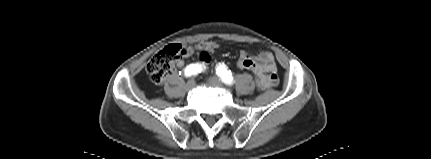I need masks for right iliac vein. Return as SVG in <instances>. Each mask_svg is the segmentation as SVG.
I'll return each instance as SVG.
<instances>
[{
    "label": "right iliac vein",
    "instance_id": "1",
    "mask_svg": "<svg viewBox=\"0 0 431 159\" xmlns=\"http://www.w3.org/2000/svg\"><path fill=\"white\" fill-rule=\"evenodd\" d=\"M195 85H196L195 80H194V79H191V80H189V81L186 83L185 88H186V90H191L192 88H194V87H195Z\"/></svg>",
    "mask_w": 431,
    "mask_h": 159
}]
</instances>
